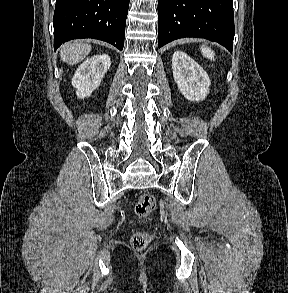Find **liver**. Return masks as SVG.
<instances>
[{"instance_id":"obj_1","label":"liver","mask_w":288,"mask_h":293,"mask_svg":"<svg viewBox=\"0 0 288 293\" xmlns=\"http://www.w3.org/2000/svg\"><path fill=\"white\" fill-rule=\"evenodd\" d=\"M91 48V45L83 42H68L60 47V56L65 63L75 65L87 57Z\"/></svg>"}]
</instances>
